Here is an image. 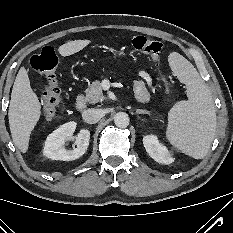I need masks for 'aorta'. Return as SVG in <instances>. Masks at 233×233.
<instances>
[{
  "instance_id": "aorta-1",
  "label": "aorta",
  "mask_w": 233,
  "mask_h": 233,
  "mask_svg": "<svg viewBox=\"0 0 233 233\" xmlns=\"http://www.w3.org/2000/svg\"><path fill=\"white\" fill-rule=\"evenodd\" d=\"M115 125L120 128H126L129 125V117L128 114L120 112L117 113L114 118Z\"/></svg>"
}]
</instances>
